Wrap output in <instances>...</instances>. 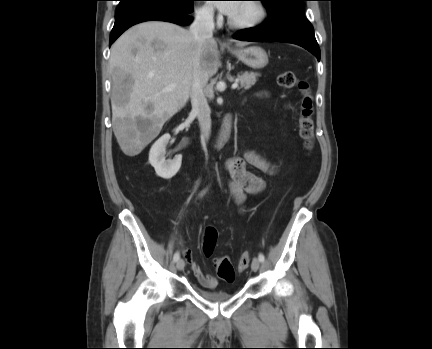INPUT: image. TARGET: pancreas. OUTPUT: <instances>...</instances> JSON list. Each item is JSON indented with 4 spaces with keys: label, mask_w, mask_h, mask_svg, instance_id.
Here are the masks:
<instances>
[{
    "label": "pancreas",
    "mask_w": 432,
    "mask_h": 349,
    "mask_svg": "<svg viewBox=\"0 0 432 349\" xmlns=\"http://www.w3.org/2000/svg\"><path fill=\"white\" fill-rule=\"evenodd\" d=\"M258 76H260V74L254 72H244L242 74H238L237 81L240 83L239 88L249 89L256 83Z\"/></svg>",
    "instance_id": "obj_1"
}]
</instances>
